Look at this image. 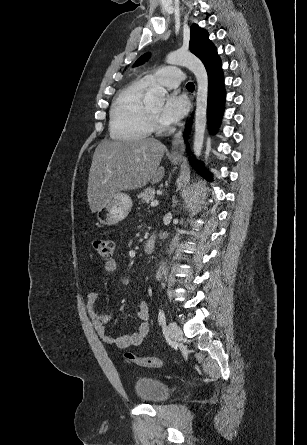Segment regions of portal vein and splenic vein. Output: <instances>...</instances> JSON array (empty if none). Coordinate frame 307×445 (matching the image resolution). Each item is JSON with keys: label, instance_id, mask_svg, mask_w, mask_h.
<instances>
[{"label": "portal vein and splenic vein", "instance_id": "18ae733b", "mask_svg": "<svg viewBox=\"0 0 307 445\" xmlns=\"http://www.w3.org/2000/svg\"><path fill=\"white\" fill-rule=\"evenodd\" d=\"M159 204V200H152L151 206H157Z\"/></svg>", "mask_w": 307, "mask_h": 445}]
</instances>
